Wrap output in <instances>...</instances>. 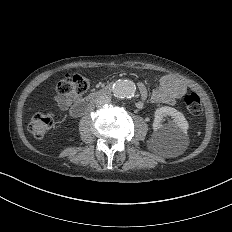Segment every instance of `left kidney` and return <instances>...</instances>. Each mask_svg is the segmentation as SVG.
I'll list each match as a JSON object with an SVG mask.
<instances>
[{
  "instance_id": "obj_1",
  "label": "left kidney",
  "mask_w": 232,
  "mask_h": 232,
  "mask_svg": "<svg viewBox=\"0 0 232 232\" xmlns=\"http://www.w3.org/2000/svg\"><path fill=\"white\" fill-rule=\"evenodd\" d=\"M171 116L173 122L163 125L162 120ZM188 124L184 115L173 107L162 106L155 111L151 145L159 148L169 146H184L188 143L187 129Z\"/></svg>"
}]
</instances>
